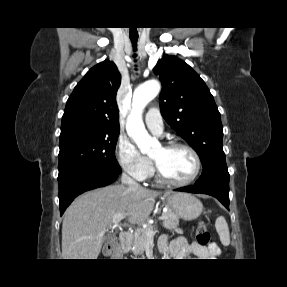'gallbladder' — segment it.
<instances>
[{
    "label": "gallbladder",
    "mask_w": 287,
    "mask_h": 287,
    "mask_svg": "<svg viewBox=\"0 0 287 287\" xmlns=\"http://www.w3.org/2000/svg\"><path fill=\"white\" fill-rule=\"evenodd\" d=\"M115 237L114 233H108L104 236V242H108L110 240H112Z\"/></svg>",
    "instance_id": "obj_1"
}]
</instances>
